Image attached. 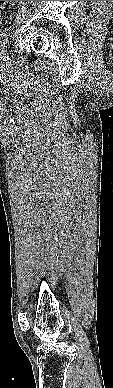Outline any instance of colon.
<instances>
[{"mask_svg": "<svg viewBox=\"0 0 113 388\" xmlns=\"http://www.w3.org/2000/svg\"><path fill=\"white\" fill-rule=\"evenodd\" d=\"M14 1H0V9L5 8L6 6L12 4Z\"/></svg>", "mask_w": 113, "mask_h": 388, "instance_id": "1", "label": "colon"}]
</instances>
